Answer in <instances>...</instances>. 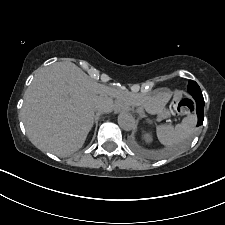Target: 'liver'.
Returning <instances> with one entry per match:
<instances>
[{
  "instance_id": "liver-1",
  "label": "liver",
  "mask_w": 225,
  "mask_h": 225,
  "mask_svg": "<svg viewBox=\"0 0 225 225\" xmlns=\"http://www.w3.org/2000/svg\"><path fill=\"white\" fill-rule=\"evenodd\" d=\"M114 99L128 106L149 100L100 84L71 62H56L39 69L25 91L22 121L33 145L65 157L83 146L97 107L109 112Z\"/></svg>"
}]
</instances>
